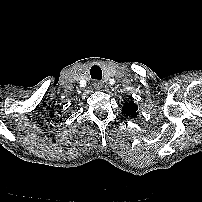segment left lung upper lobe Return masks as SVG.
Segmentation results:
<instances>
[{
  "label": "left lung upper lobe",
  "mask_w": 202,
  "mask_h": 202,
  "mask_svg": "<svg viewBox=\"0 0 202 202\" xmlns=\"http://www.w3.org/2000/svg\"><path fill=\"white\" fill-rule=\"evenodd\" d=\"M137 110V105L132 101L124 104L123 106V113L129 117H136L138 115Z\"/></svg>",
  "instance_id": "5c2ea615"
}]
</instances>
